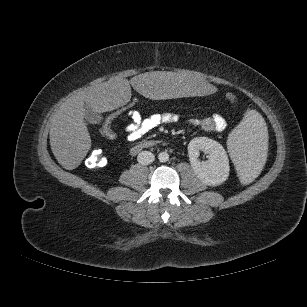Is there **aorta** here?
Listing matches in <instances>:
<instances>
[{
  "instance_id": "1",
  "label": "aorta",
  "mask_w": 307,
  "mask_h": 307,
  "mask_svg": "<svg viewBox=\"0 0 307 307\" xmlns=\"http://www.w3.org/2000/svg\"><path fill=\"white\" fill-rule=\"evenodd\" d=\"M158 159L160 162H167L169 160V154L164 151L158 154Z\"/></svg>"
}]
</instances>
